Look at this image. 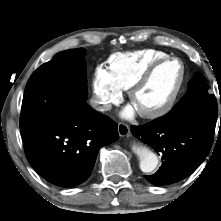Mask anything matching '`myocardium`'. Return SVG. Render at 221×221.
Wrapping results in <instances>:
<instances>
[{
    "label": "myocardium",
    "instance_id": "f54148a6",
    "mask_svg": "<svg viewBox=\"0 0 221 221\" xmlns=\"http://www.w3.org/2000/svg\"><path fill=\"white\" fill-rule=\"evenodd\" d=\"M170 62H179L181 65L182 74H181V79L179 81V84L176 87L172 96L168 99V101L164 103L162 106H160L159 108H156L154 110H148V111H138L139 115L145 119L155 120V119L161 118L167 115L174 108V106L176 105L177 101L179 100L183 92V89L187 81V68H186L185 63L180 58L171 57V56L160 59L154 62L153 64H151L147 68V70L128 89L129 100L130 102H133V98L135 94L150 81L154 73L161 66Z\"/></svg>",
    "mask_w": 221,
    "mask_h": 221
}]
</instances>
